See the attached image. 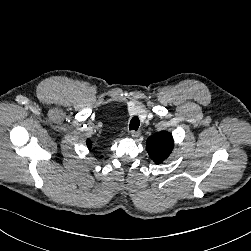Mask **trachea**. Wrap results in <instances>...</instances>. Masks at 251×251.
Wrapping results in <instances>:
<instances>
[{"instance_id": "obj_1", "label": "trachea", "mask_w": 251, "mask_h": 251, "mask_svg": "<svg viewBox=\"0 0 251 251\" xmlns=\"http://www.w3.org/2000/svg\"><path fill=\"white\" fill-rule=\"evenodd\" d=\"M139 125H140L139 118L137 116H134L130 121L129 129L137 131Z\"/></svg>"}]
</instances>
